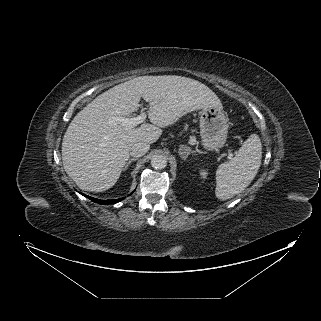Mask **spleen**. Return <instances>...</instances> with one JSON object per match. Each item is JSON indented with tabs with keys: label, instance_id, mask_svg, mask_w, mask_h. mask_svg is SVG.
<instances>
[{
	"label": "spleen",
	"instance_id": "obj_1",
	"mask_svg": "<svg viewBox=\"0 0 321 321\" xmlns=\"http://www.w3.org/2000/svg\"><path fill=\"white\" fill-rule=\"evenodd\" d=\"M261 158L260 138L257 134H252L232 160L218 166L216 170V197L220 200H227L248 187L259 170Z\"/></svg>",
	"mask_w": 321,
	"mask_h": 321
}]
</instances>
